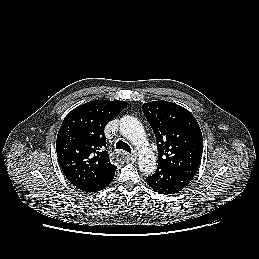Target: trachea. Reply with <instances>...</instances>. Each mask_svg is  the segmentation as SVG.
<instances>
[{
	"label": "trachea",
	"mask_w": 259,
	"mask_h": 259,
	"mask_svg": "<svg viewBox=\"0 0 259 259\" xmlns=\"http://www.w3.org/2000/svg\"><path fill=\"white\" fill-rule=\"evenodd\" d=\"M116 149H119V150L122 149V150H125V151L131 153V148H130V146H129L126 142H124V141H122V140H119V141L116 143Z\"/></svg>",
	"instance_id": "trachea-1"
}]
</instances>
